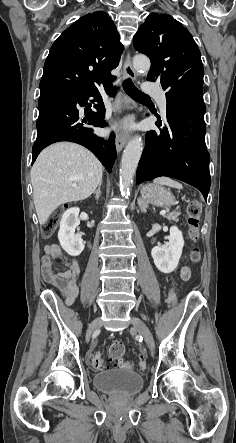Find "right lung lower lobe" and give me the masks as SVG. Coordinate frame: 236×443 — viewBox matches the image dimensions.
Segmentation results:
<instances>
[{"label":"right lung lower lobe","mask_w":236,"mask_h":443,"mask_svg":"<svg viewBox=\"0 0 236 443\" xmlns=\"http://www.w3.org/2000/svg\"><path fill=\"white\" fill-rule=\"evenodd\" d=\"M114 79L106 82L104 88L111 96L115 88L111 86ZM93 97L92 102L97 112L85 108V118L79 116L77 106L88 105V99ZM89 106V105H88ZM39 117L36 123L37 140L33 146L32 163L38 154L48 145L59 141H71L88 148L101 161L108 172L116 159L115 137L110 135L109 140L104 141L93 133L95 127H105V109L101 95L97 87L82 90L47 89L42 90L39 98Z\"/></svg>","instance_id":"right-lung-lower-lobe-1"}]
</instances>
